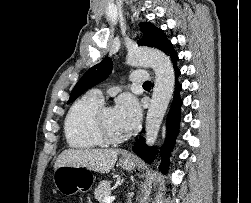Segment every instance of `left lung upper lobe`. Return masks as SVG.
<instances>
[{
	"instance_id": "5c2ea615",
	"label": "left lung upper lobe",
	"mask_w": 251,
	"mask_h": 203,
	"mask_svg": "<svg viewBox=\"0 0 251 203\" xmlns=\"http://www.w3.org/2000/svg\"><path fill=\"white\" fill-rule=\"evenodd\" d=\"M143 37L138 41V45L155 47L162 51L165 50L170 41L161 29L156 28L150 22L140 23ZM112 61L106 57L99 64L91 67L75 85L70 95L68 103L75 100L87 89L105 80L112 71Z\"/></svg>"
}]
</instances>
